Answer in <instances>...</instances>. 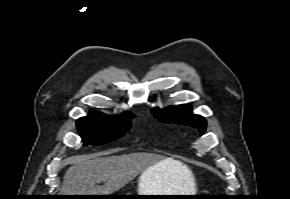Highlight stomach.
I'll use <instances>...</instances> for the list:
<instances>
[{"mask_svg":"<svg viewBox=\"0 0 290 199\" xmlns=\"http://www.w3.org/2000/svg\"><path fill=\"white\" fill-rule=\"evenodd\" d=\"M158 166L154 165L145 170L138 179L137 195H179L172 194L170 189V177L159 173ZM153 199H185L181 197H151Z\"/></svg>","mask_w":290,"mask_h":199,"instance_id":"0dacf381","label":"stomach"}]
</instances>
